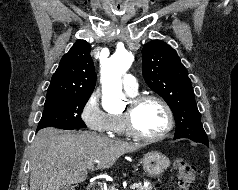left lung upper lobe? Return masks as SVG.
I'll return each mask as SVG.
<instances>
[{
	"mask_svg": "<svg viewBox=\"0 0 238 190\" xmlns=\"http://www.w3.org/2000/svg\"><path fill=\"white\" fill-rule=\"evenodd\" d=\"M142 74L148 86L171 108L176 121L175 137L208 141L191 80L177 52L160 40L146 43L142 49Z\"/></svg>",
	"mask_w": 238,
	"mask_h": 190,
	"instance_id": "5c2ea615",
	"label": "left lung upper lobe"
}]
</instances>
